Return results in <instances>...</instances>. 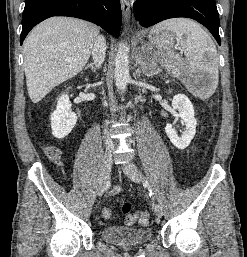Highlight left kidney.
I'll return each instance as SVG.
<instances>
[{"label": "left kidney", "mask_w": 247, "mask_h": 257, "mask_svg": "<svg viewBox=\"0 0 247 257\" xmlns=\"http://www.w3.org/2000/svg\"><path fill=\"white\" fill-rule=\"evenodd\" d=\"M172 107L179 111L178 117L185 125L181 136H178L174 130L173 125L167 123L165 126V132L172 142V144L178 149H185L193 139L196 133L197 120L194 115V108L189 98L184 94H177L172 99Z\"/></svg>", "instance_id": "left-kidney-1"}]
</instances>
